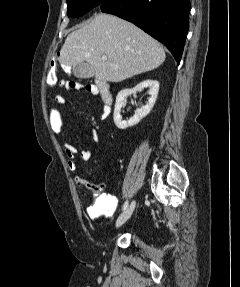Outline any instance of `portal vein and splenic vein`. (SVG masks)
Returning a JSON list of instances; mask_svg holds the SVG:
<instances>
[{"instance_id":"portal-vein-and-splenic-vein-1","label":"portal vein and splenic vein","mask_w":240,"mask_h":287,"mask_svg":"<svg viewBox=\"0 0 240 287\" xmlns=\"http://www.w3.org/2000/svg\"><path fill=\"white\" fill-rule=\"evenodd\" d=\"M107 59H108V58H107L106 55H103V56H102V60H103V61H107Z\"/></svg>"}]
</instances>
